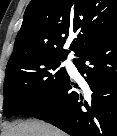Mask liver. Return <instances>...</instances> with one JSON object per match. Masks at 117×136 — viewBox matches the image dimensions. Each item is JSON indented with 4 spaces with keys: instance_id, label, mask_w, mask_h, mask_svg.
Segmentation results:
<instances>
[{
    "instance_id": "obj_1",
    "label": "liver",
    "mask_w": 117,
    "mask_h": 136,
    "mask_svg": "<svg viewBox=\"0 0 117 136\" xmlns=\"http://www.w3.org/2000/svg\"><path fill=\"white\" fill-rule=\"evenodd\" d=\"M4 136H67L50 124L32 120L5 127Z\"/></svg>"
}]
</instances>
